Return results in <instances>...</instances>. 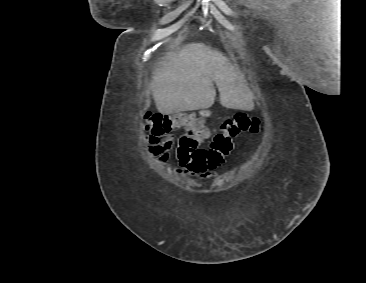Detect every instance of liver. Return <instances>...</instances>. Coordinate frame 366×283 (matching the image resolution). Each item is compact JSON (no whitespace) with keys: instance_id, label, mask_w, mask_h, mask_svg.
I'll return each mask as SVG.
<instances>
[{"instance_id":"1","label":"liver","mask_w":366,"mask_h":283,"mask_svg":"<svg viewBox=\"0 0 366 283\" xmlns=\"http://www.w3.org/2000/svg\"><path fill=\"white\" fill-rule=\"evenodd\" d=\"M213 82L222 106L254 109L253 93L237 68L203 43H191L171 53L154 73L151 88L158 111L168 115L211 107L216 96Z\"/></svg>"}]
</instances>
